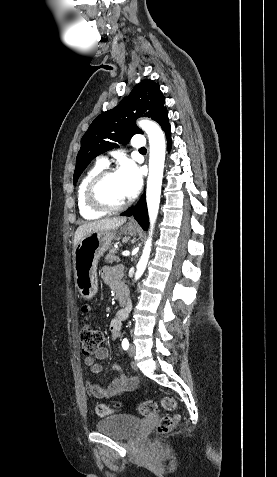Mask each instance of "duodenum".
I'll list each match as a JSON object with an SVG mask.
<instances>
[{"mask_svg": "<svg viewBox=\"0 0 277 477\" xmlns=\"http://www.w3.org/2000/svg\"><path fill=\"white\" fill-rule=\"evenodd\" d=\"M118 298L120 306L123 307L124 313L127 314L131 309V301L129 296L126 294V292H119Z\"/></svg>", "mask_w": 277, "mask_h": 477, "instance_id": "duodenum-1", "label": "duodenum"}]
</instances>
